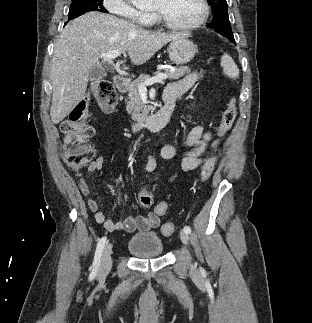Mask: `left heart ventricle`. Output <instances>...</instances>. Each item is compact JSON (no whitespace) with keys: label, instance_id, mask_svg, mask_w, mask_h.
<instances>
[{"label":"left heart ventricle","instance_id":"left-heart-ventricle-1","mask_svg":"<svg viewBox=\"0 0 312 323\" xmlns=\"http://www.w3.org/2000/svg\"><path fill=\"white\" fill-rule=\"evenodd\" d=\"M161 14L171 22H192L193 18H203L200 0H166Z\"/></svg>","mask_w":312,"mask_h":323}]
</instances>
